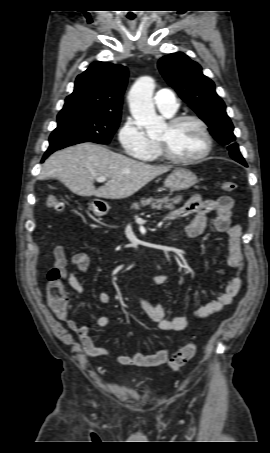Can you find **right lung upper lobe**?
Instances as JSON below:
<instances>
[{"label":"right lung upper lobe","instance_id":"obj_1","mask_svg":"<svg viewBox=\"0 0 270 453\" xmlns=\"http://www.w3.org/2000/svg\"><path fill=\"white\" fill-rule=\"evenodd\" d=\"M128 69L108 62H94L75 81L58 117L93 112L121 116L122 96L127 85Z\"/></svg>","mask_w":270,"mask_h":453}]
</instances>
